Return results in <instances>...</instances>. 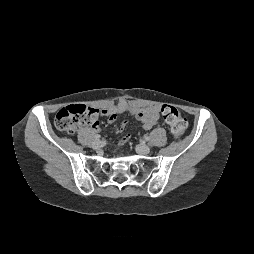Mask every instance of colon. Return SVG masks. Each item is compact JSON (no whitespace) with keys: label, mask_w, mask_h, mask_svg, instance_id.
Returning a JSON list of instances; mask_svg holds the SVG:
<instances>
[{"label":"colon","mask_w":254,"mask_h":254,"mask_svg":"<svg viewBox=\"0 0 254 254\" xmlns=\"http://www.w3.org/2000/svg\"><path fill=\"white\" fill-rule=\"evenodd\" d=\"M159 112L175 138L181 137L186 132L187 121L176 107L164 104L159 107ZM98 118L97 109L86 105H70L57 112L55 126L63 132L73 134L81 125L92 124Z\"/></svg>","instance_id":"obj_1"}]
</instances>
